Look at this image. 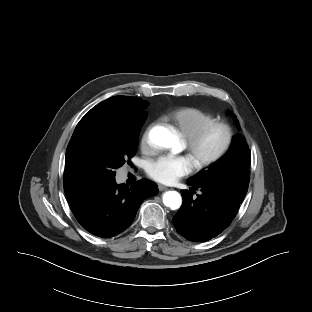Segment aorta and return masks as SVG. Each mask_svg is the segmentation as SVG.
Instances as JSON below:
<instances>
[{"mask_svg": "<svg viewBox=\"0 0 312 312\" xmlns=\"http://www.w3.org/2000/svg\"><path fill=\"white\" fill-rule=\"evenodd\" d=\"M150 142L160 148H171L175 145V138L172 132L164 126H155L149 133ZM165 206L176 210L182 204L181 195L176 191H168L163 195Z\"/></svg>", "mask_w": 312, "mask_h": 312, "instance_id": "aorta-1", "label": "aorta"}]
</instances>
